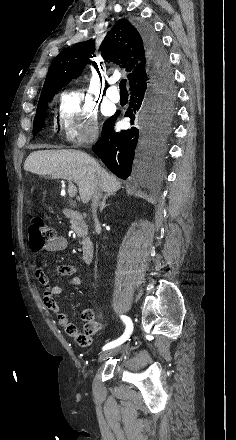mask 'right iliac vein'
Wrapping results in <instances>:
<instances>
[{
	"mask_svg": "<svg viewBox=\"0 0 236 440\" xmlns=\"http://www.w3.org/2000/svg\"><path fill=\"white\" fill-rule=\"evenodd\" d=\"M119 349H120V347H116V348H112V349H110V350H108V351L102 353V354L99 356L98 361H99V362L104 361L107 357L116 354V353L119 351Z\"/></svg>",
	"mask_w": 236,
	"mask_h": 440,
	"instance_id": "obj_1",
	"label": "right iliac vein"
}]
</instances>
